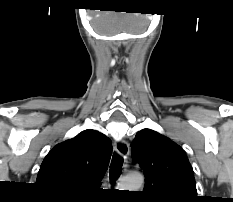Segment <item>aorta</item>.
<instances>
[{"label":"aorta","mask_w":233,"mask_h":202,"mask_svg":"<svg viewBox=\"0 0 233 202\" xmlns=\"http://www.w3.org/2000/svg\"><path fill=\"white\" fill-rule=\"evenodd\" d=\"M143 181L144 179L142 175L132 174V175L125 176L121 180L120 186L121 188H123L122 190L136 191L142 186Z\"/></svg>","instance_id":"1"}]
</instances>
